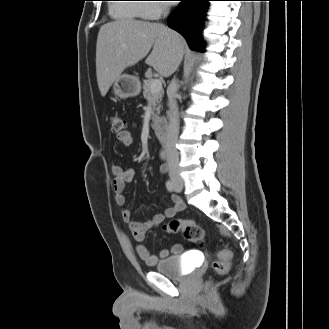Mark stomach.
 Returning a JSON list of instances; mask_svg holds the SVG:
<instances>
[{"instance_id": "stomach-1", "label": "stomach", "mask_w": 329, "mask_h": 329, "mask_svg": "<svg viewBox=\"0 0 329 329\" xmlns=\"http://www.w3.org/2000/svg\"><path fill=\"white\" fill-rule=\"evenodd\" d=\"M140 91V81L133 75L123 74L113 84L114 94L121 99L135 97Z\"/></svg>"}]
</instances>
